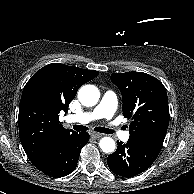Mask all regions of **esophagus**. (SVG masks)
I'll list each match as a JSON object with an SVG mask.
<instances>
[{
    "instance_id": "esophagus-1",
    "label": "esophagus",
    "mask_w": 194,
    "mask_h": 194,
    "mask_svg": "<svg viewBox=\"0 0 194 194\" xmlns=\"http://www.w3.org/2000/svg\"><path fill=\"white\" fill-rule=\"evenodd\" d=\"M91 136H92L93 138H100V137L103 136V134L98 133V132H92V133H91Z\"/></svg>"
}]
</instances>
